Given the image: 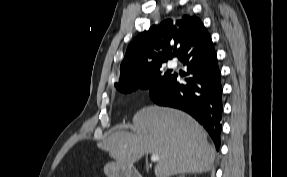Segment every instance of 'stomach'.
I'll return each instance as SVG.
<instances>
[{
    "instance_id": "1",
    "label": "stomach",
    "mask_w": 287,
    "mask_h": 177,
    "mask_svg": "<svg viewBox=\"0 0 287 177\" xmlns=\"http://www.w3.org/2000/svg\"><path fill=\"white\" fill-rule=\"evenodd\" d=\"M104 172L108 177H131L136 173L133 166L120 162H110L104 167Z\"/></svg>"
}]
</instances>
